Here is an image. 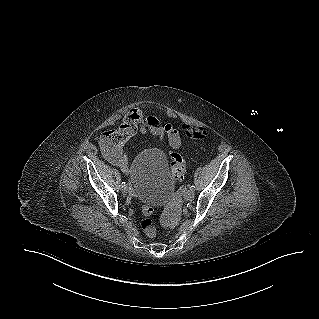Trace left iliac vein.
Here are the masks:
<instances>
[{
    "label": "left iliac vein",
    "instance_id": "4c4485c4",
    "mask_svg": "<svg viewBox=\"0 0 319 319\" xmlns=\"http://www.w3.org/2000/svg\"><path fill=\"white\" fill-rule=\"evenodd\" d=\"M185 198L187 200H192L194 198V191L192 190H188L186 193H185Z\"/></svg>",
    "mask_w": 319,
    "mask_h": 319
}]
</instances>
